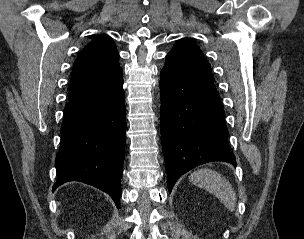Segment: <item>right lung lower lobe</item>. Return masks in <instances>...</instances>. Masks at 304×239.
<instances>
[{
  "label": "right lung lower lobe",
  "instance_id": "1",
  "mask_svg": "<svg viewBox=\"0 0 304 239\" xmlns=\"http://www.w3.org/2000/svg\"><path fill=\"white\" fill-rule=\"evenodd\" d=\"M122 73L66 104L53 191L80 181L108 193L119 208L126 129Z\"/></svg>",
  "mask_w": 304,
  "mask_h": 239
}]
</instances>
